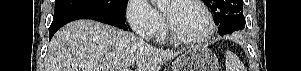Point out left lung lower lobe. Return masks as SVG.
Returning <instances> with one entry per match:
<instances>
[{
  "instance_id": "obj_1",
  "label": "left lung lower lobe",
  "mask_w": 301,
  "mask_h": 71,
  "mask_svg": "<svg viewBox=\"0 0 301 71\" xmlns=\"http://www.w3.org/2000/svg\"><path fill=\"white\" fill-rule=\"evenodd\" d=\"M217 25H219V34L223 36L225 34H230L233 31L244 29L245 18L242 13L231 14L218 22Z\"/></svg>"
}]
</instances>
